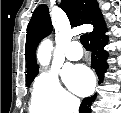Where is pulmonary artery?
<instances>
[{
	"label": "pulmonary artery",
	"instance_id": "pulmonary-artery-1",
	"mask_svg": "<svg viewBox=\"0 0 121 113\" xmlns=\"http://www.w3.org/2000/svg\"><path fill=\"white\" fill-rule=\"evenodd\" d=\"M65 57L70 61H78L83 56L81 45L77 41H72L65 49Z\"/></svg>",
	"mask_w": 121,
	"mask_h": 113
}]
</instances>
